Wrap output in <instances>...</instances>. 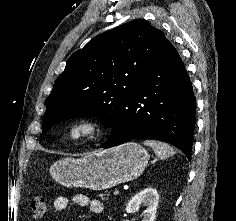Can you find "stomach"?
<instances>
[{
  "instance_id": "0dacf381",
  "label": "stomach",
  "mask_w": 236,
  "mask_h": 221,
  "mask_svg": "<svg viewBox=\"0 0 236 221\" xmlns=\"http://www.w3.org/2000/svg\"><path fill=\"white\" fill-rule=\"evenodd\" d=\"M150 156L141 145L128 142L82 158L66 157L50 167L52 177L68 188L105 190L138 178Z\"/></svg>"
}]
</instances>
